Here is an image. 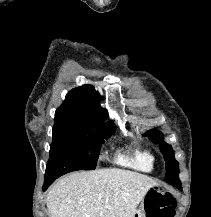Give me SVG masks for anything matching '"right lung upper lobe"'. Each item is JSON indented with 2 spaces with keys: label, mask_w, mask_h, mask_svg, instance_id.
Instances as JSON below:
<instances>
[{
  "label": "right lung upper lobe",
  "mask_w": 211,
  "mask_h": 217,
  "mask_svg": "<svg viewBox=\"0 0 211 217\" xmlns=\"http://www.w3.org/2000/svg\"><path fill=\"white\" fill-rule=\"evenodd\" d=\"M99 93L92 85L74 88L66 95L65 101L55 112V123L93 125L99 128H113L106 109L99 106Z\"/></svg>",
  "instance_id": "cb5924a9"
}]
</instances>
